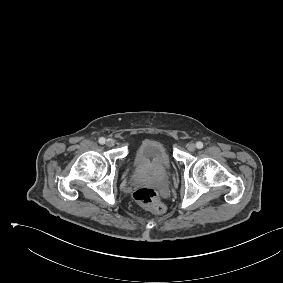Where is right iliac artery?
Instances as JSON below:
<instances>
[{
  "label": "right iliac artery",
  "instance_id": "1",
  "mask_svg": "<svg viewBox=\"0 0 283 283\" xmlns=\"http://www.w3.org/2000/svg\"><path fill=\"white\" fill-rule=\"evenodd\" d=\"M106 142V139L104 137L99 138V143L104 144Z\"/></svg>",
  "mask_w": 283,
  "mask_h": 283
}]
</instances>
